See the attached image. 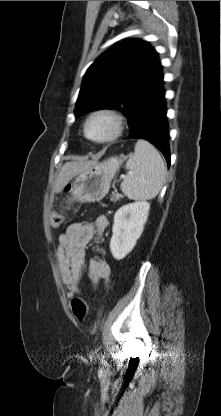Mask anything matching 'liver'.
Listing matches in <instances>:
<instances>
[{
	"mask_svg": "<svg viewBox=\"0 0 221 416\" xmlns=\"http://www.w3.org/2000/svg\"><path fill=\"white\" fill-rule=\"evenodd\" d=\"M96 163V161L66 162L62 166L61 171L59 172L58 177L55 181V185L53 188L54 192H61L74 176L85 170H88Z\"/></svg>",
	"mask_w": 221,
	"mask_h": 416,
	"instance_id": "1",
	"label": "liver"
}]
</instances>
